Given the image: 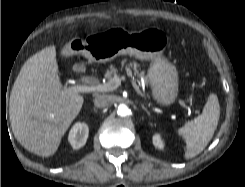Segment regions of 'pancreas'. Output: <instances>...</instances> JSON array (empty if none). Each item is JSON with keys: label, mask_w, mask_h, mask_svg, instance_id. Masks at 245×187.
<instances>
[{"label": "pancreas", "mask_w": 245, "mask_h": 187, "mask_svg": "<svg viewBox=\"0 0 245 187\" xmlns=\"http://www.w3.org/2000/svg\"><path fill=\"white\" fill-rule=\"evenodd\" d=\"M138 64L137 63H129V65L126 67L127 73L128 74H134V75H139L140 72L139 70H137ZM132 68V70H131ZM118 73V69L115 68L114 65H109L108 69L105 72V78L108 79L109 81Z\"/></svg>", "instance_id": "obj_1"}]
</instances>
